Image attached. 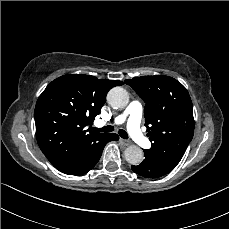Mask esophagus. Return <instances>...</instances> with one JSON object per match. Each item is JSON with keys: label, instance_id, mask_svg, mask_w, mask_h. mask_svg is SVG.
<instances>
[{"label": "esophagus", "instance_id": "1", "mask_svg": "<svg viewBox=\"0 0 229 229\" xmlns=\"http://www.w3.org/2000/svg\"><path fill=\"white\" fill-rule=\"evenodd\" d=\"M120 142L125 146H128L130 144V141L125 140V139H120Z\"/></svg>", "mask_w": 229, "mask_h": 229}]
</instances>
